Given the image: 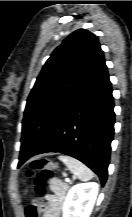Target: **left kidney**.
<instances>
[{"mask_svg":"<svg viewBox=\"0 0 132 217\" xmlns=\"http://www.w3.org/2000/svg\"><path fill=\"white\" fill-rule=\"evenodd\" d=\"M99 186L95 182L73 186L63 205V217H89L96 201Z\"/></svg>","mask_w":132,"mask_h":217,"instance_id":"obj_1","label":"left kidney"}]
</instances>
